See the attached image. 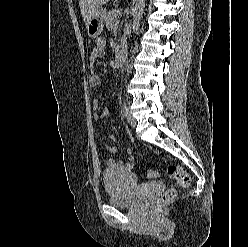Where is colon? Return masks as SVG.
<instances>
[{
  "label": "colon",
  "instance_id": "5ec220e1",
  "mask_svg": "<svg viewBox=\"0 0 248 247\" xmlns=\"http://www.w3.org/2000/svg\"><path fill=\"white\" fill-rule=\"evenodd\" d=\"M167 174L170 179H172L178 186L180 187H188L190 184V176L189 174L183 169L182 166L177 165V164H171L167 168ZM157 172L155 171H148L147 176L150 178H155L157 177ZM176 196V190L174 188H170L164 192V194L159 197L155 205L157 207L162 206L171 200H173Z\"/></svg>",
  "mask_w": 248,
  "mask_h": 247
}]
</instances>
